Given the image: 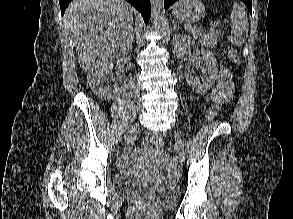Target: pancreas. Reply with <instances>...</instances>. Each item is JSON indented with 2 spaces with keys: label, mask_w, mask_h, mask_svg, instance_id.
Here are the masks:
<instances>
[{
  "label": "pancreas",
  "mask_w": 293,
  "mask_h": 219,
  "mask_svg": "<svg viewBox=\"0 0 293 219\" xmlns=\"http://www.w3.org/2000/svg\"><path fill=\"white\" fill-rule=\"evenodd\" d=\"M186 27L189 29V31H191V33L196 38H199L207 46H215L217 43V39L220 37V33H218V32L209 33V34H202L201 29H199L195 26L187 25Z\"/></svg>",
  "instance_id": "1"
}]
</instances>
